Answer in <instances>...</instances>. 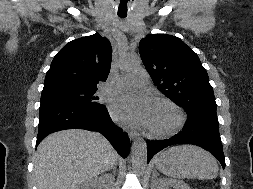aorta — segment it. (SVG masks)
<instances>
[{
    "label": "aorta",
    "mask_w": 253,
    "mask_h": 189,
    "mask_svg": "<svg viewBox=\"0 0 253 189\" xmlns=\"http://www.w3.org/2000/svg\"><path fill=\"white\" fill-rule=\"evenodd\" d=\"M140 65V59L135 57H127L123 61L124 69L137 68ZM132 166L135 171H144L147 166V145L146 142L139 138L134 141L131 148Z\"/></svg>",
    "instance_id": "1"
}]
</instances>
